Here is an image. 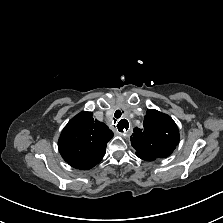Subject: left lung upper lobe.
I'll return each mask as SVG.
<instances>
[{"instance_id":"obj_1","label":"left lung upper lobe","mask_w":223,"mask_h":223,"mask_svg":"<svg viewBox=\"0 0 223 223\" xmlns=\"http://www.w3.org/2000/svg\"><path fill=\"white\" fill-rule=\"evenodd\" d=\"M131 144L136 155L157 159L168 157L179 142V130L167 114L150 109L144 118L143 127L133 129Z\"/></svg>"}]
</instances>
